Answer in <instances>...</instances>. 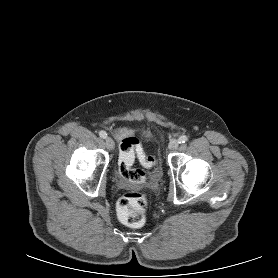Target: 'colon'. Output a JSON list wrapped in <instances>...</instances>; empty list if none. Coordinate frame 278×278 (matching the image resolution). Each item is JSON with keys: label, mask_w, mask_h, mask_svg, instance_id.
Segmentation results:
<instances>
[{"label": "colon", "mask_w": 278, "mask_h": 278, "mask_svg": "<svg viewBox=\"0 0 278 278\" xmlns=\"http://www.w3.org/2000/svg\"><path fill=\"white\" fill-rule=\"evenodd\" d=\"M135 156L140 162L151 167L156 159L146 155L136 138L124 139L120 144L119 172L128 182L142 184L146 180V174L142 170L133 168ZM148 196L143 191H129L120 196L116 210L119 219L130 227H141L145 223Z\"/></svg>", "instance_id": "1"}]
</instances>
